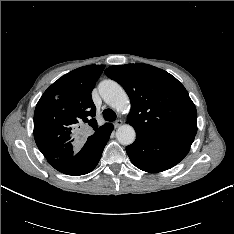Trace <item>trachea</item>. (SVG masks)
Wrapping results in <instances>:
<instances>
[{
    "label": "trachea",
    "instance_id": "obj_1",
    "mask_svg": "<svg viewBox=\"0 0 234 234\" xmlns=\"http://www.w3.org/2000/svg\"><path fill=\"white\" fill-rule=\"evenodd\" d=\"M103 117L106 121L113 122L116 120V113L112 109H105L103 111Z\"/></svg>",
    "mask_w": 234,
    "mask_h": 234
}]
</instances>
